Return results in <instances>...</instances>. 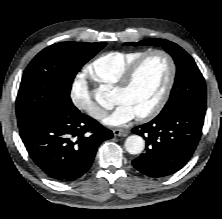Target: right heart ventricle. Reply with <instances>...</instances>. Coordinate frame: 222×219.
Here are the masks:
<instances>
[{
  "label": "right heart ventricle",
  "mask_w": 222,
  "mask_h": 219,
  "mask_svg": "<svg viewBox=\"0 0 222 219\" xmlns=\"http://www.w3.org/2000/svg\"><path fill=\"white\" fill-rule=\"evenodd\" d=\"M146 50L109 51L98 56L86 67L100 85L116 86L125 70Z\"/></svg>",
  "instance_id": "1"
}]
</instances>
